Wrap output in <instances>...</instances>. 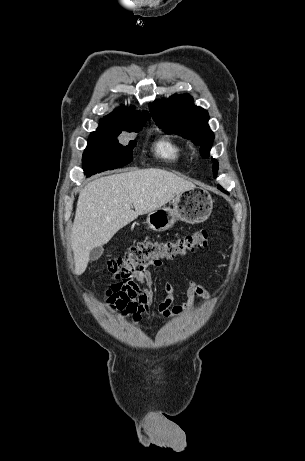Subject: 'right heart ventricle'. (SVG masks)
<instances>
[{
  "label": "right heart ventricle",
  "mask_w": 305,
  "mask_h": 461,
  "mask_svg": "<svg viewBox=\"0 0 305 461\" xmlns=\"http://www.w3.org/2000/svg\"><path fill=\"white\" fill-rule=\"evenodd\" d=\"M154 150L158 156L171 161H177L186 154L184 146L168 138L156 142Z\"/></svg>",
  "instance_id": "e07e8e85"
}]
</instances>
